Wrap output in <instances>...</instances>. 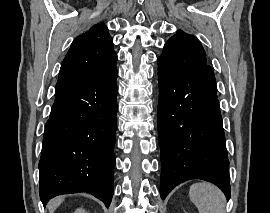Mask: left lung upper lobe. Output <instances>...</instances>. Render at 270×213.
Masks as SVG:
<instances>
[{
	"label": "left lung upper lobe",
	"mask_w": 270,
	"mask_h": 213,
	"mask_svg": "<svg viewBox=\"0 0 270 213\" xmlns=\"http://www.w3.org/2000/svg\"><path fill=\"white\" fill-rule=\"evenodd\" d=\"M158 71L165 74L199 73L215 80L213 69L206 64L205 51L194 36L178 30L164 45L158 58Z\"/></svg>",
	"instance_id": "1"
}]
</instances>
